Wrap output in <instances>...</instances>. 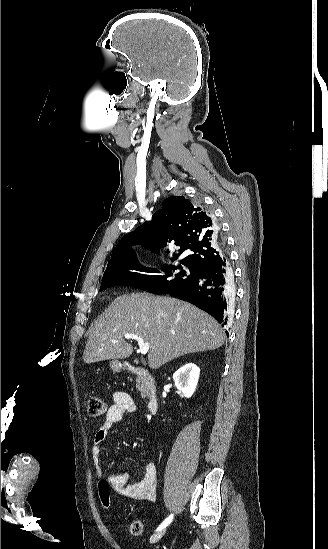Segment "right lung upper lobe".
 Wrapping results in <instances>:
<instances>
[{
	"label": "right lung upper lobe",
	"mask_w": 328,
	"mask_h": 549,
	"mask_svg": "<svg viewBox=\"0 0 328 549\" xmlns=\"http://www.w3.org/2000/svg\"><path fill=\"white\" fill-rule=\"evenodd\" d=\"M136 243L154 251L166 246H179L180 253L174 254L172 261L189 249L193 253L181 260V264L193 270L226 256L214 218L184 196L167 198L150 222L146 221L124 236L114 249L107 268L125 260H137L131 248Z\"/></svg>",
	"instance_id": "1"
}]
</instances>
